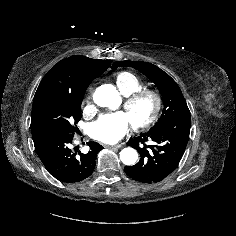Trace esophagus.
Returning <instances> with one entry per match:
<instances>
[{"label":"esophagus","instance_id":"34e87169","mask_svg":"<svg viewBox=\"0 0 236 236\" xmlns=\"http://www.w3.org/2000/svg\"><path fill=\"white\" fill-rule=\"evenodd\" d=\"M106 147H109V148H121V147H122V144H117V145H112V146H106Z\"/></svg>","mask_w":236,"mask_h":236}]
</instances>
